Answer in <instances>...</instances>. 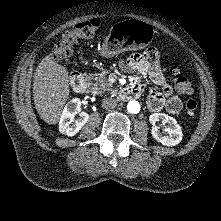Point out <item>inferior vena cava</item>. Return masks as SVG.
Returning <instances> with one entry per match:
<instances>
[{
  "label": "inferior vena cava",
  "mask_w": 221,
  "mask_h": 221,
  "mask_svg": "<svg viewBox=\"0 0 221 221\" xmlns=\"http://www.w3.org/2000/svg\"><path fill=\"white\" fill-rule=\"evenodd\" d=\"M117 106V101L111 97H105L102 99V108L103 109H113Z\"/></svg>",
  "instance_id": "obj_1"
}]
</instances>
